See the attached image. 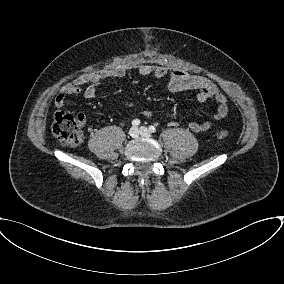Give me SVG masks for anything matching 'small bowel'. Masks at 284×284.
Instances as JSON below:
<instances>
[{"mask_svg":"<svg viewBox=\"0 0 284 284\" xmlns=\"http://www.w3.org/2000/svg\"><path fill=\"white\" fill-rule=\"evenodd\" d=\"M136 71L143 76L156 78H168V89L172 93L185 91H197V100L206 102L214 100L217 108L210 120L203 123L191 121L188 124L190 130L202 133L210 130L214 121L222 120L228 115V101L226 96L211 80L204 76L190 74L182 70H168L161 66L141 64L135 67ZM128 67H116L107 70H97L79 75L72 82L62 86L55 97L54 104L57 108L65 105L66 99L71 95H83L86 99H94L102 83L110 78H123L126 76ZM144 116H150L148 110H144ZM169 125L177 126L176 121H170Z\"/></svg>","mask_w":284,"mask_h":284,"instance_id":"c3829d8e","label":"small bowel"}]
</instances>
